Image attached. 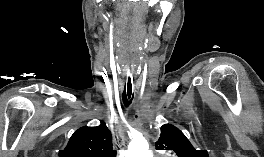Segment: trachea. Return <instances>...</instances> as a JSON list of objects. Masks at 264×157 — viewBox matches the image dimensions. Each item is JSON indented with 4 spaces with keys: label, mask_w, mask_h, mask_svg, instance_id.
Segmentation results:
<instances>
[{
    "label": "trachea",
    "mask_w": 264,
    "mask_h": 157,
    "mask_svg": "<svg viewBox=\"0 0 264 157\" xmlns=\"http://www.w3.org/2000/svg\"><path fill=\"white\" fill-rule=\"evenodd\" d=\"M124 78L125 85L123 90V103L125 106H129L132 103L134 97V78L129 58L126 56L124 63Z\"/></svg>",
    "instance_id": "3493384b"
}]
</instances>
